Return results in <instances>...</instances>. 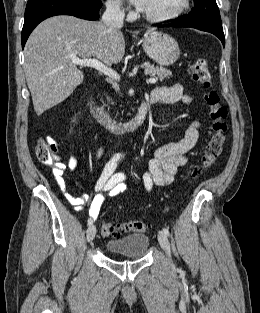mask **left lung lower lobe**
<instances>
[{
    "label": "left lung lower lobe",
    "instance_id": "0a47b994",
    "mask_svg": "<svg viewBox=\"0 0 260 313\" xmlns=\"http://www.w3.org/2000/svg\"><path fill=\"white\" fill-rule=\"evenodd\" d=\"M158 27H192V28H196V29H199L202 31L210 32V33L216 35L221 40L223 45L225 43L223 30L215 29V28H209V27L195 26L186 20L178 21V22H174V23H170V24H165V25H160Z\"/></svg>",
    "mask_w": 260,
    "mask_h": 313
}]
</instances>
